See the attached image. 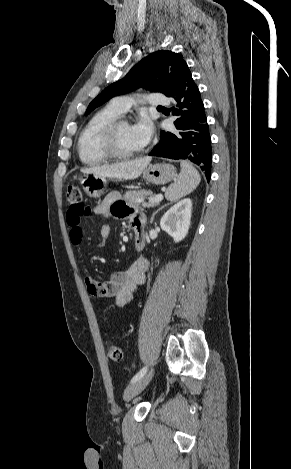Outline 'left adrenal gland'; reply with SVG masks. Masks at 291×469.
<instances>
[{"mask_svg": "<svg viewBox=\"0 0 291 469\" xmlns=\"http://www.w3.org/2000/svg\"><path fill=\"white\" fill-rule=\"evenodd\" d=\"M167 205H169V203L164 204L163 206H161L160 208H158L155 212H153L150 223L153 222L154 216H155L160 210H162L164 207H166Z\"/></svg>", "mask_w": 291, "mask_h": 469, "instance_id": "obj_1", "label": "left adrenal gland"}]
</instances>
